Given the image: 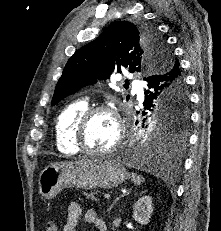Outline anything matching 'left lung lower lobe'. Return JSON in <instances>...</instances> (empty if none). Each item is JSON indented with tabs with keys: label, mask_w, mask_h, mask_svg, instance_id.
Returning <instances> with one entry per match:
<instances>
[{
	"label": "left lung lower lobe",
	"mask_w": 221,
	"mask_h": 231,
	"mask_svg": "<svg viewBox=\"0 0 221 231\" xmlns=\"http://www.w3.org/2000/svg\"><path fill=\"white\" fill-rule=\"evenodd\" d=\"M172 61L173 64L171 68L166 67L164 71L144 78V80L148 82L144 92V102L151 101L156 97H162L164 98V108H166L169 105H175L177 102L176 99L171 100L172 97L169 99L170 94L173 92L172 90L177 88L186 90L185 79L180 69V63L177 64V59L171 60V62ZM185 140L172 142L164 137L153 136L151 141H148L147 146L135 152L134 158H136L137 161H153L157 160L158 155H160L164 149H171L172 155H174L173 159L178 163L177 153L182 150Z\"/></svg>",
	"instance_id": "1"
}]
</instances>
